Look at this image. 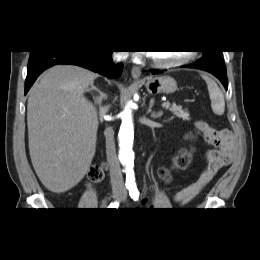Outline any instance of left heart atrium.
Here are the masks:
<instances>
[{
    "label": "left heart atrium",
    "instance_id": "1",
    "mask_svg": "<svg viewBox=\"0 0 260 260\" xmlns=\"http://www.w3.org/2000/svg\"><path fill=\"white\" fill-rule=\"evenodd\" d=\"M147 54H148V55H151V54H152V52H147Z\"/></svg>",
    "mask_w": 260,
    "mask_h": 260
}]
</instances>
